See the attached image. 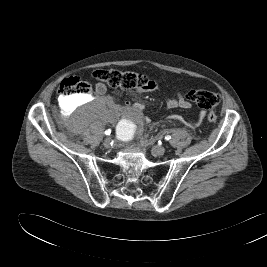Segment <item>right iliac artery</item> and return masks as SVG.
<instances>
[{
  "mask_svg": "<svg viewBox=\"0 0 267 267\" xmlns=\"http://www.w3.org/2000/svg\"><path fill=\"white\" fill-rule=\"evenodd\" d=\"M110 133H111V130L110 129H108V130L105 131V134L106 135H110Z\"/></svg>",
  "mask_w": 267,
  "mask_h": 267,
  "instance_id": "right-iliac-artery-1",
  "label": "right iliac artery"
}]
</instances>
